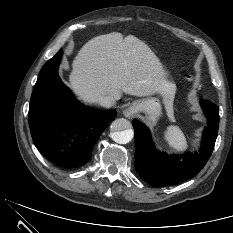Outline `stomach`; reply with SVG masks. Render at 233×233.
<instances>
[{
    "instance_id": "1",
    "label": "stomach",
    "mask_w": 233,
    "mask_h": 233,
    "mask_svg": "<svg viewBox=\"0 0 233 233\" xmlns=\"http://www.w3.org/2000/svg\"><path fill=\"white\" fill-rule=\"evenodd\" d=\"M130 114H144V119L149 124H155L162 114V107L155 97L136 100L128 109Z\"/></svg>"
}]
</instances>
